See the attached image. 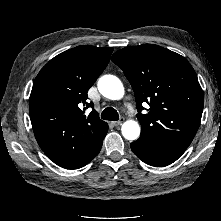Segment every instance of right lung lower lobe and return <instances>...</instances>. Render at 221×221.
<instances>
[{"mask_svg":"<svg viewBox=\"0 0 221 221\" xmlns=\"http://www.w3.org/2000/svg\"><path fill=\"white\" fill-rule=\"evenodd\" d=\"M107 131H108V126H107L106 129L103 131V134L101 135V137H100V139H99V141H98L96 152H95L94 156L91 158V160L99 153V151H100V149H101V147H102L103 139H104V137H105ZM91 160H90V161H91ZM90 161H89V162H90ZM86 164H87V163H86ZM86 164H85V165H86Z\"/></svg>","mask_w":221,"mask_h":221,"instance_id":"obj_1","label":"right lung lower lobe"}]
</instances>
